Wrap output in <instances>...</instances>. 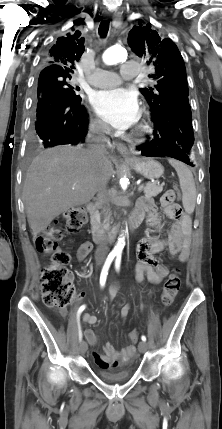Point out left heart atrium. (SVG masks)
Returning <instances> with one entry per match:
<instances>
[{"label": "left heart atrium", "instance_id": "1", "mask_svg": "<svg viewBox=\"0 0 222 429\" xmlns=\"http://www.w3.org/2000/svg\"><path fill=\"white\" fill-rule=\"evenodd\" d=\"M93 107L99 117L118 129H126L139 118L136 95L124 88L100 91L93 98Z\"/></svg>", "mask_w": 222, "mask_h": 429}]
</instances>
